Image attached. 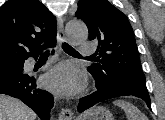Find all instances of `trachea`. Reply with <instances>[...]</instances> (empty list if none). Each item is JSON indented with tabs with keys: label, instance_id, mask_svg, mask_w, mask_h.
Instances as JSON below:
<instances>
[{
	"label": "trachea",
	"instance_id": "obj_1",
	"mask_svg": "<svg viewBox=\"0 0 165 120\" xmlns=\"http://www.w3.org/2000/svg\"><path fill=\"white\" fill-rule=\"evenodd\" d=\"M62 48L66 53H68L70 55H80L73 47H71L67 43H63ZM48 53H49V51H46L44 54H48Z\"/></svg>",
	"mask_w": 165,
	"mask_h": 120
}]
</instances>
